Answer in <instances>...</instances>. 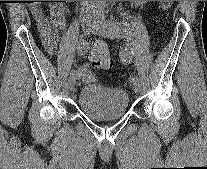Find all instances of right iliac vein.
I'll list each match as a JSON object with an SVG mask.
<instances>
[{"label":"right iliac vein","instance_id":"right-iliac-vein-1","mask_svg":"<svg viewBox=\"0 0 207 169\" xmlns=\"http://www.w3.org/2000/svg\"><path fill=\"white\" fill-rule=\"evenodd\" d=\"M93 20L91 18H84L82 20V29L85 33H89L92 29ZM76 78L70 77L68 80L69 89L72 91L75 89Z\"/></svg>","mask_w":207,"mask_h":169}]
</instances>
